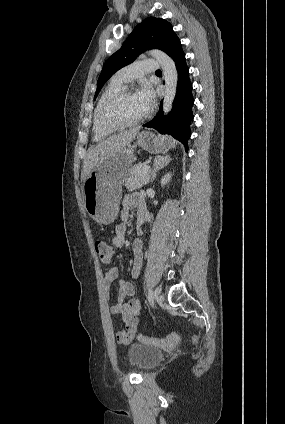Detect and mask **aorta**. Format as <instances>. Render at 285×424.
<instances>
[{
	"mask_svg": "<svg viewBox=\"0 0 285 424\" xmlns=\"http://www.w3.org/2000/svg\"><path fill=\"white\" fill-rule=\"evenodd\" d=\"M161 65L165 80L163 112L167 115L173 105L177 91L178 73L174 61L164 52L154 49L148 52Z\"/></svg>",
	"mask_w": 285,
	"mask_h": 424,
	"instance_id": "762f6f07",
	"label": "aorta"
}]
</instances>
